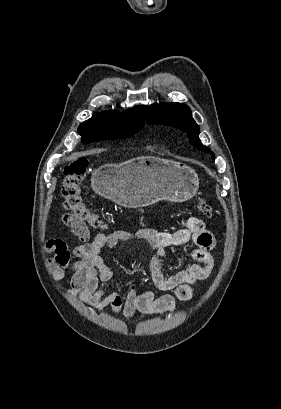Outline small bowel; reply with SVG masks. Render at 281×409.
I'll return each instance as SVG.
<instances>
[{"mask_svg":"<svg viewBox=\"0 0 281 409\" xmlns=\"http://www.w3.org/2000/svg\"><path fill=\"white\" fill-rule=\"evenodd\" d=\"M63 223L71 228L81 244L69 251L62 239L48 240L47 251L56 255L48 261L50 273L54 278L61 279L64 270L70 266L74 272L70 282L71 293L98 310L110 307L115 314H121L127 321L133 319L137 313L143 318L175 311L177 302L189 300L194 292V284L207 279L213 270L212 250L216 240L205 223L196 217L183 220L180 228L174 232H162L152 228H144L135 233L117 230L109 234L98 233L92 240L86 225L72 214L65 213ZM133 238L147 241L155 250L150 260V286L144 292L138 293L136 282L127 279L125 297L118 293L108 294L106 288L113 280L114 274L103 261L102 251ZM188 243L197 246L188 253L192 261L185 263L177 272L165 274L162 270L165 255L174 254L175 247ZM154 289L172 290L174 295L156 297Z\"/></svg>","mask_w":281,"mask_h":409,"instance_id":"c3829d8e","label":"small bowel"}]
</instances>
